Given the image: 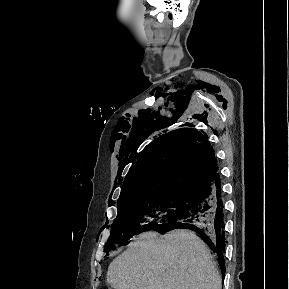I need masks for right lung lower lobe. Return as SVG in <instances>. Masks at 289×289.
<instances>
[{
    "mask_svg": "<svg viewBox=\"0 0 289 289\" xmlns=\"http://www.w3.org/2000/svg\"><path fill=\"white\" fill-rule=\"evenodd\" d=\"M224 206L221 195L220 179L199 193L191 208L182 216L172 219L155 231L164 234L173 229H189L213 250L218 263L225 273L223 253L225 252Z\"/></svg>",
    "mask_w": 289,
    "mask_h": 289,
    "instance_id": "98d812e1",
    "label": "right lung lower lobe"
}]
</instances>
